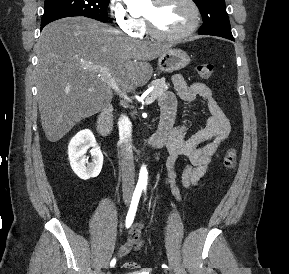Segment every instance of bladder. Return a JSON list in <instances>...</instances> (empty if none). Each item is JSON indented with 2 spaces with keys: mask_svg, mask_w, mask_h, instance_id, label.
<instances>
[{
  "mask_svg": "<svg viewBox=\"0 0 289 274\" xmlns=\"http://www.w3.org/2000/svg\"><path fill=\"white\" fill-rule=\"evenodd\" d=\"M124 274H144V273H140V272H127V273H124Z\"/></svg>",
  "mask_w": 289,
  "mask_h": 274,
  "instance_id": "obj_1",
  "label": "bladder"
}]
</instances>
